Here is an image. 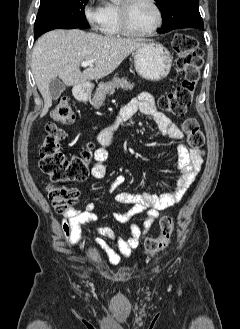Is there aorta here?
Wrapping results in <instances>:
<instances>
[{"label":"aorta","mask_w":240,"mask_h":329,"mask_svg":"<svg viewBox=\"0 0 240 329\" xmlns=\"http://www.w3.org/2000/svg\"><path fill=\"white\" fill-rule=\"evenodd\" d=\"M111 1L116 2L117 0H111Z\"/></svg>","instance_id":"1"}]
</instances>
